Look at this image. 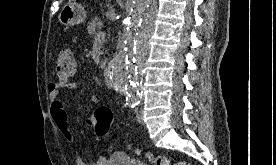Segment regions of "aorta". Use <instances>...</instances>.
I'll use <instances>...</instances> for the list:
<instances>
[{"label": "aorta", "instance_id": "762f6f07", "mask_svg": "<svg viewBox=\"0 0 276 165\" xmlns=\"http://www.w3.org/2000/svg\"><path fill=\"white\" fill-rule=\"evenodd\" d=\"M156 11L157 0H132L121 48L108 65L110 84L124 91L132 102L140 99L144 57L155 28Z\"/></svg>", "mask_w": 276, "mask_h": 165}]
</instances>
